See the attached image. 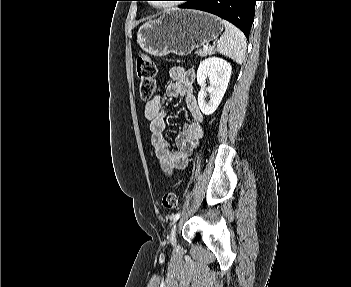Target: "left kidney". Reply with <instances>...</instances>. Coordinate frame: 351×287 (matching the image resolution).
<instances>
[{"label": "left kidney", "instance_id": "left-kidney-1", "mask_svg": "<svg viewBox=\"0 0 351 287\" xmlns=\"http://www.w3.org/2000/svg\"><path fill=\"white\" fill-rule=\"evenodd\" d=\"M232 67L230 63L219 57H209L203 60L197 70V82L201 86L198 93V105L205 115H210L218 108L229 83ZM210 87H205L206 79ZM210 100L206 102V93Z\"/></svg>", "mask_w": 351, "mask_h": 287}]
</instances>
